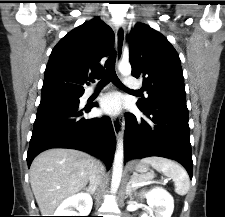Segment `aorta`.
Here are the masks:
<instances>
[{
	"label": "aorta",
	"mask_w": 225,
	"mask_h": 217,
	"mask_svg": "<svg viewBox=\"0 0 225 217\" xmlns=\"http://www.w3.org/2000/svg\"><path fill=\"white\" fill-rule=\"evenodd\" d=\"M118 69L123 76H129L131 74V65L129 62H120ZM123 158H124V145L123 139L121 138L117 143L113 164V179L118 182L120 181L122 176Z\"/></svg>",
	"instance_id": "1"
}]
</instances>
